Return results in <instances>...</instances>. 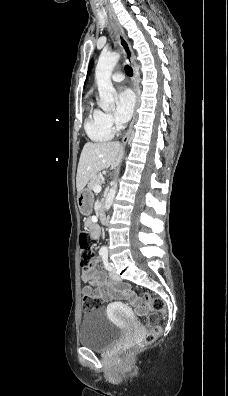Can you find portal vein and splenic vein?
<instances>
[{
    "label": "portal vein and splenic vein",
    "mask_w": 228,
    "mask_h": 396,
    "mask_svg": "<svg viewBox=\"0 0 228 396\" xmlns=\"http://www.w3.org/2000/svg\"><path fill=\"white\" fill-rule=\"evenodd\" d=\"M102 181H103V180H102ZM94 191H95V192L101 191V185H100V184L95 185Z\"/></svg>",
    "instance_id": "18ae733b"
}]
</instances>
